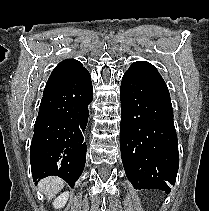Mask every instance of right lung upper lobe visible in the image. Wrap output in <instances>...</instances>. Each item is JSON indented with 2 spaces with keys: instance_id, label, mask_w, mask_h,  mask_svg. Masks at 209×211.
Wrapping results in <instances>:
<instances>
[{
  "instance_id": "cb5924a9",
  "label": "right lung upper lobe",
  "mask_w": 209,
  "mask_h": 211,
  "mask_svg": "<svg viewBox=\"0 0 209 211\" xmlns=\"http://www.w3.org/2000/svg\"><path fill=\"white\" fill-rule=\"evenodd\" d=\"M83 69H84L83 65L77 60L74 59L63 60L52 71L46 83L44 93L69 81Z\"/></svg>"
}]
</instances>
